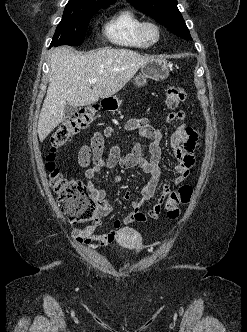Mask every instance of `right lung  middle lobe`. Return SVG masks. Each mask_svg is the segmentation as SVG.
I'll list each match as a JSON object with an SVG mask.
<instances>
[{
  "label": "right lung middle lobe",
  "mask_w": 247,
  "mask_h": 332,
  "mask_svg": "<svg viewBox=\"0 0 247 332\" xmlns=\"http://www.w3.org/2000/svg\"><path fill=\"white\" fill-rule=\"evenodd\" d=\"M110 5H76L68 3L50 46L81 45L85 38L89 20L98 10Z\"/></svg>",
  "instance_id": "right-lung-middle-lobe-1"
}]
</instances>
